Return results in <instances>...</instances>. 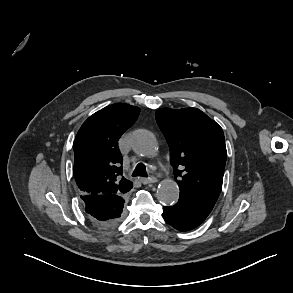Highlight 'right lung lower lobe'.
I'll return each instance as SVG.
<instances>
[{"mask_svg": "<svg viewBox=\"0 0 293 293\" xmlns=\"http://www.w3.org/2000/svg\"><path fill=\"white\" fill-rule=\"evenodd\" d=\"M123 197L118 194L81 196L89 220L102 226H113L120 220L125 203Z\"/></svg>", "mask_w": 293, "mask_h": 293, "instance_id": "1", "label": "right lung lower lobe"}]
</instances>
